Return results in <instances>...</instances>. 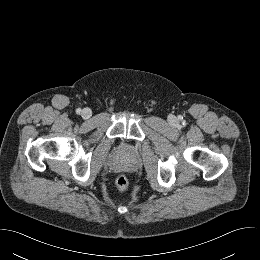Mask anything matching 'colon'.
Returning <instances> with one entry per match:
<instances>
[{
    "label": "colon",
    "mask_w": 260,
    "mask_h": 260,
    "mask_svg": "<svg viewBox=\"0 0 260 260\" xmlns=\"http://www.w3.org/2000/svg\"><path fill=\"white\" fill-rule=\"evenodd\" d=\"M115 184L120 191H125L129 187V180L125 175H120L116 178Z\"/></svg>",
    "instance_id": "5ec220e1"
}]
</instances>
